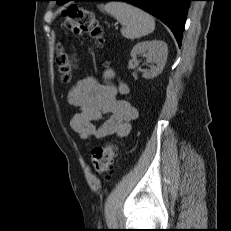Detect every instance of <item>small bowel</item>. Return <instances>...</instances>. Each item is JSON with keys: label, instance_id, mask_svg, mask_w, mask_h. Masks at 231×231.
I'll list each match as a JSON object with an SVG mask.
<instances>
[{"label": "small bowel", "instance_id": "small-bowel-1", "mask_svg": "<svg viewBox=\"0 0 231 231\" xmlns=\"http://www.w3.org/2000/svg\"><path fill=\"white\" fill-rule=\"evenodd\" d=\"M111 69L103 73V80L86 77L79 80L69 91L68 101L79 108L70 126L81 139L89 141L92 137L104 140L111 135L125 137L131 130L132 122L138 117L137 109L118 95L129 93L123 83H113ZM102 121L100 125L95 123Z\"/></svg>", "mask_w": 231, "mask_h": 231}]
</instances>
